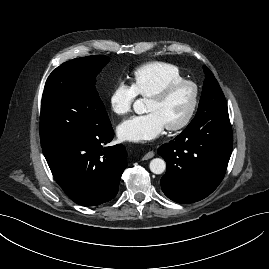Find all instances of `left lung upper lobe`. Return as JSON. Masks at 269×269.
Here are the masks:
<instances>
[{
  "instance_id": "5c2ea615",
  "label": "left lung upper lobe",
  "mask_w": 269,
  "mask_h": 269,
  "mask_svg": "<svg viewBox=\"0 0 269 269\" xmlns=\"http://www.w3.org/2000/svg\"><path fill=\"white\" fill-rule=\"evenodd\" d=\"M204 72L206 78L198 111L188 126L229 119L227 103L217 80L206 66H204Z\"/></svg>"
}]
</instances>
